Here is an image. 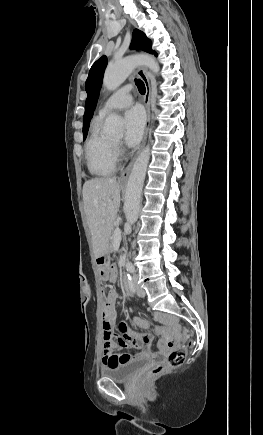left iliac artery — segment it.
<instances>
[{
  "label": "left iliac artery",
  "mask_w": 263,
  "mask_h": 435,
  "mask_svg": "<svg viewBox=\"0 0 263 435\" xmlns=\"http://www.w3.org/2000/svg\"><path fill=\"white\" fill-rule=\"evenodd\" d=\"M127 270H128L129 272H131V273H133V272L135 271L133 265H129L128 268H127Z\"/></svg>",
  "instance_id": "left-iliac-artery-1"
}]
</instances>
